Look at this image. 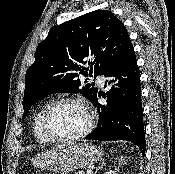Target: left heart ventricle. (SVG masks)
Here are the masks:
<instances>
[{
    "label": "left heart ventricle",
    "mask_w": 175,
    "mask_h": 174,
    "mask_svg": "<svg viewBox=\"0 0 175 174\" xmlns=\"http://www.w3.org/2000/svg\"><path fill=\"white\" fill-rule=\"evenodd\" d=\"M87 123L84 110L77 104L66 103L58 106L50 117L52 132L61 137L73 136L81 132Z\"/></svg>",
    "instance_id": "obj_1"
}]
</instances>
